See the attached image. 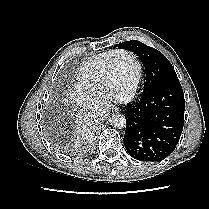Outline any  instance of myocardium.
I'll return each mask as SVG.
<instances>
[{
    "instance_id": "f54148a6",
    "label": "myocardium",
    "mask_w": 209,
    "mask_h": 209,
    "mask_svg": "<svg viewBox=\"0 0 209 209\" xmlns=\"http://www.w3.org/2000/svg\"><path fill=\"white\" fill-rule=\"evenodd\" d=\"M120 55L129 56L134 61L135 66H136V70H137L136 81H135L134 86H133L131 92L129 93V95H127L126 97L121 98V99H114L115 101H117L119 103H128V102L132 101L137 96L140 86H141V83H142V79H143V71H142L141 63L138 60L137 56L132 51L124 50V49H117L114 51L112 57L108 61V64H107L104 74H103L102 93L104 96L109 97L108 96V89H109V84H110V79H111V73L113 70L114 59Z\"/></svg>"
}]
</instances>
